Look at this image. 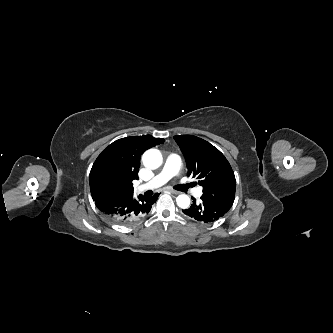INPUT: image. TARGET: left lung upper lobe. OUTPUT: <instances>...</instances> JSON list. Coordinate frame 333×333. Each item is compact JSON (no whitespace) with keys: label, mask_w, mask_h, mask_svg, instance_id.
<instances>
[{"label":"left lung upper lobe","mask_w":333,"mask_h":333,"mask_svg":"<svg viewBox=\"0 0 333 333\" xmlns=\"http://www.w3.org/2000/svg\"><path fill=\"white\" fill-rule=\"evenodd\" d=\"M187 164V175L197 178L203 195L233 204L236 180L225 156L209 142L192 135L174 136Z\"/></svg>","instance_id":"left-lung-upper-lobe-1"}]
</instances>
